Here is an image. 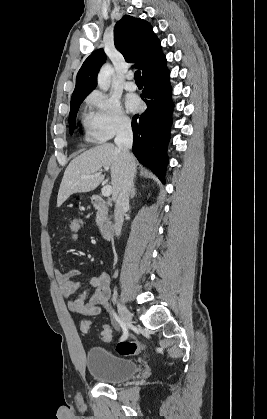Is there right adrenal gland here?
<instances>
[{
  "mask_svg": "<svg viewBox=\"0 0 267 419\" xmlns=\"http://www.w3.org/2000/svg\"><path fill=\"white\" fill-rule=\"evenodd\" d=\"M135 195H136V188H135V185L133 184L132 189H131V196H130L131 199H133Z\"/></svg>",
  "mask_w": 267,
  "mask_h": 419,
  "instance_id": "2a0ac1e0",
  "label": "right adrenal gland"
}]
</instances>
